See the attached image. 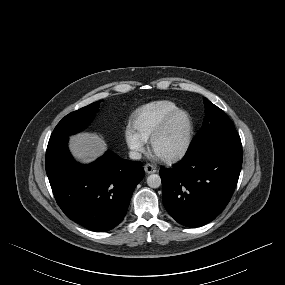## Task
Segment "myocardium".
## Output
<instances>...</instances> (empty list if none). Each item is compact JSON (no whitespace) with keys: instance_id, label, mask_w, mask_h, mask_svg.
I'll return each mask as SVG.
<instances>
[{"instance_id":"obj_1","label":"myocardium","mask_w":285,"mask_h":285,"mask_svg":"<svg viewBox=\"0 0 285 285\" xmlns=\"http://www.w3.org/2000/svg\"><path fill=\"white\" fill-rule=\"evenodd\" d=\"M179 115H184L188 121V130H187L186 138H185L182 148L176 153L171 154V155L158 154L156 150V145H157L158 140L166 132L171 122ZM194 132H195L194 121L190 113L181 108L174 110L173 112H171L164 118V120L161 122V124L158 126V128L154 131V133L150 137L151 150L156 156H158L161 160L167 163L177 162L183 159L188 154L192 146V143H193Z\"/></svg>"}]
</instances>
